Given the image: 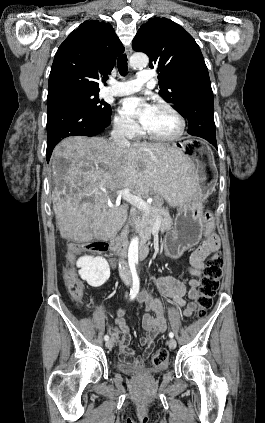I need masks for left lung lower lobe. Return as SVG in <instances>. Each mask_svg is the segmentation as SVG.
<instances>
[{
  "label": "left lung lower lobe",
  "instance_id": "1",
  "mask_svg": "<svg viewBox=\"0 0 265 423\" xmlns=\"http://www.w3.org/2000/svg\"><path fill=\"white\" fill-rule=\"evenodd\" d=\"M180 114L188 119V134L201 137L217 148L213 92L209 81L200 82L187 91Z\"/></svg>",
  "mask_w": 265,
  "mask_h": 423
}]
</instances>
